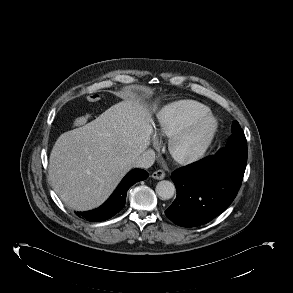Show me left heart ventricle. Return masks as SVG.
<instances>
[{
  "instance_id": "obj_1",
  "label": "left heart ventricle",
  "mask_w": 293,
  "mask_h": 293,
  "mask_svg": "<svg viewBox=\"0 0 293 293\" xmlns=\"http://www.w3.org/2000/svg\"><path fill=\"white\" fill-rule=\"evenodd\" d=\"M202 133H203L202 130H197L194 133H192L190 136L185 138L183 141L179 143L177 147V151L183 155L189 154L192 151H194L200 142Z\"/></svg>"
}]
</instances>
